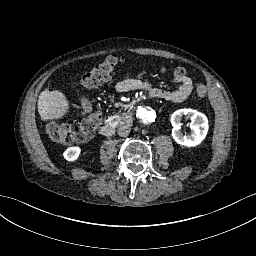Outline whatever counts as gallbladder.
Returning <instances> with one entry per match:
<instances>
[{
	"instance_id": "1",
	"label": "gallbladder",
	"mask_w": 256,
	"mask_h": 256,
	"mask_svg": "<svg viewBox=\"0 0 256 256\" xmlns=\"http://www.w3.org/2000/svg\"><path fill=\"white\" fill-rule=\"evenodd\" d=\"M81 104L86 113H90L92 111V104L86 98H81Z\"/></svg>"
}]
</instances>
